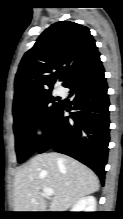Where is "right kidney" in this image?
<instances>
[{"mask_svg":"<svg viewBox=\"0 0 123 219\" xmlns=\"http://www.w3.org/2000/svg\"><path fill=\"white\" fill-rule=\"evenodd\" d=\"M96 211V199L94 196H86L78 200L70 212H95Z\"/></svg>","mask_w":123,"mask_h":219,"instance_id":"obj_1","label":"right kidney"}]
</instances>
